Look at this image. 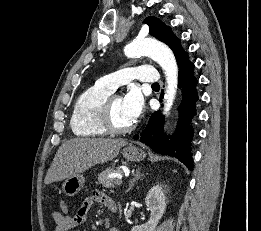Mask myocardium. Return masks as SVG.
Returning a JSON list of instances; mask_svg holds the SVG:
<instances>
[{
	"instance_id": "f54148a6",
	"label": "myocardium",
	"mask_w": 261,
	"mask_h": 231,
	"mask_svg": "<svg viewBox=\"0 0 261 231\" xmlns=\"http://www.w3.org/2000/svg\"><path fill=\"white\" fill-rule=\"evenodd\" d=\"M119 97V95H110L103 103L99 113V123L108 133L125 134L131 132L136 126L135 121L125 127L118 126L114 122L112 104Z\"/></svg>"
}]
</instances>
